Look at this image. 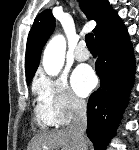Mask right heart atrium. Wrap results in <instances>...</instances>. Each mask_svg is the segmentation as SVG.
Wrapping results in <instances>:
<instances>
[{
	"label": "right heart atrium",
	"mask_w": 139,
	"mask_h": 150,
	"mask_svg": "<svg viewBox=\"0 0 139 150\" xmlns=\"http://www.w3.org/2000/svg\"><path fill=\"white\" fill-rule=\"evenodd\" d=\"M35 91L54 125H65L86 110L84 100L73 93L65 75L40 78L35 84Z\"/></svg>",
	"instance_id": "1"
}]
</instances>
